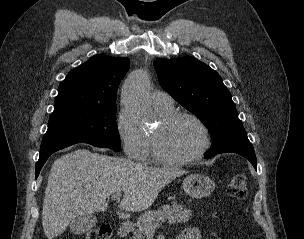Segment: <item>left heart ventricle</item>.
Returning <instances> with one entry per match:
<instances>
[{"instance_id": "1", "label": "left heart ventricle", "mask_w": 304, "mask_h": 239, "mask_svg": "<svg viewBox=\"0 0 304 239\" xmlns=\"http://www.w3.org/2000/svg\"><path fill=\"white\" fill-rule=\"evenodd\" d=\"M161 153L170 158L188 157L198 151L202 144L199 127L188 118H181L167 128L161 124L154 133Z\"/></svg>"}]
</instances>
